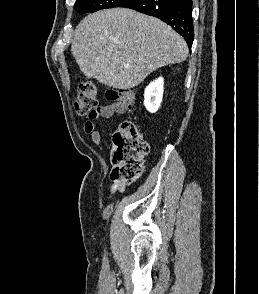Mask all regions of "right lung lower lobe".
Returning a JSON list of instances; mask_svg holds the SVG:
<instances>
[{"label": "right lung lower lobe", "instance_id": "1", "mask_svg": "<svg viewBox=\"0 0 259 294\" xmlns=\"http://www.w3.org/2000/svg\"><path fill=\"white\" fill-rule=\"evenodd\" d=\"M119 7L157 17L179 33L190 48L194 40L192 0H128Z\"/></svg>", "mask_w": 259, "mask_h": 294}]
</instances>
